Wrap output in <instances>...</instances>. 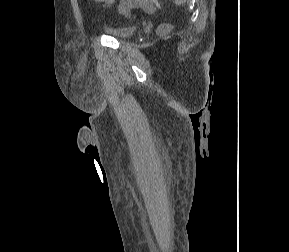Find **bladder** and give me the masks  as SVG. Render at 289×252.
Instances as JSON below:
<instances>
[{"mask_svg": "<svg viewBox=\"0 0 289 252\" xmlns=\"http://www.w3.org/2000/svg\"><path fill=\"white\" fill-rule=\"evenodd\" d=\"M103 31L111 37L117 39H127L135 33V28L133 26H114L105 27Z\"/></svg>", "mask_w": 289, "mask_h": 252, "instance_id": "31cf9c89", "label": "bladder"}]
</instances>
